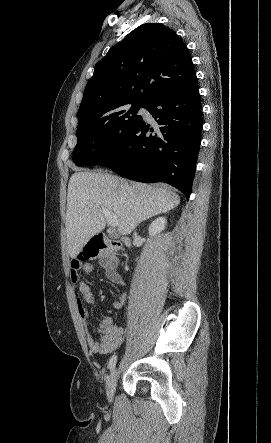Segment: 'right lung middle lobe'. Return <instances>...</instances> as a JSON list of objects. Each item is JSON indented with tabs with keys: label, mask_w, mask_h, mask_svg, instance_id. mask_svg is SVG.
Returning <instances> with one entry per match:
<instances>
[{
	"label": "right lung middle lobe",
	"mask_w": 271,
	"mask_h": 443,
	"mask_svg": "<svg viewBox=\"0 0 271 443\" xmlns=\"http://www.w3.org/2000/svg\"><path fill=\"white\" fill-rule=\"evenodd\" d=\"M146 107V103H126L100 117L78 118L73 162L77 166H102L142 123L137 112Z\"/></svg>",
	"instance_id": "right-lung-middle-lobe-1"
}]
</instances>
